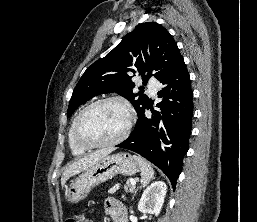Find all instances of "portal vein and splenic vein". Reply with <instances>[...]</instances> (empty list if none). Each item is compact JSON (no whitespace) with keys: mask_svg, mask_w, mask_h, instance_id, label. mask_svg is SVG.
Segmentation results:
<instances>
[{"mask_svg":"<svg viewBox=\"0 0 257 222\" xmlns=\"http://www.w3.org/2000/svg\"><path fill=\"white\" fill-rule=\"evenodd\" d=\"M130 183H131L132 185H135V184H136V181H135L134 179H130Z\"/></svg>","mask_w":257,"mask_h":222,"instance_id":"18ae733b","label":"portal vein and splenic vein"}]
</instances>
